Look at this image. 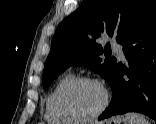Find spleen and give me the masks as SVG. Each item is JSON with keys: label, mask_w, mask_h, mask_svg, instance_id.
I'll return each mask as SVG.
<instances>
[{"label": "spleen", "mask_w": 156, "mask_h": 124, "mask_svg": "<svg viewBox=\"0 0 156 124\" xmlns=\"http://www.w3.org/2000/svg\"><path fill=\"white\" fill-rule=\"evenodd\" d=\"M125 120L127 124H150L149 121L143 115L136 113L126 114Z\"/></svg>", "instance_id": "obj_1"}]
</instances>
